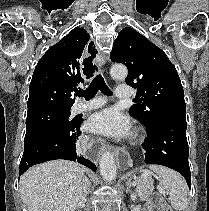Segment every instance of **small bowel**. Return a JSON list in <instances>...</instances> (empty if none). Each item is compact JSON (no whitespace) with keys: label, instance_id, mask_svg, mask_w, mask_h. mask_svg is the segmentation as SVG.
Wrapping results in <instances>:
<instances>
[{"label":"small bowel","instance_id":"small-bowel-1","mask_svg":"<svg viewBox=\"0 0 209 211\" xmlns=\"http://www.w3.org/2000/svg\"><path fill=\"white\" fill-rule=\"evenodd\" d=\"M144 211H166L162 197L158 194L153 195Z\"/></svg>","mask_w":209,"mask_h":211}]
</instances>
